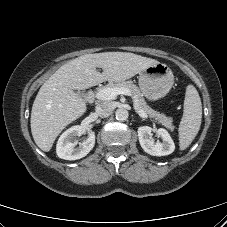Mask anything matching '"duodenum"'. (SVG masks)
Segmentation results:
<instances>
[{"label":"duodenum","mask_w":227,"mask_h":227,"mask_svg":"<svg viewBox=\"0 0 227 227\" xmlns=\"http://www.w3.org/2000/svg\"><path fill=\"white\" fill-rule=\"evenodd\" d=\"M88 99H89L90 101H93V100H94V93H93L92 91L89 92V94H88Z\"/></svg>","instance_id":"1"}]
</instances>
